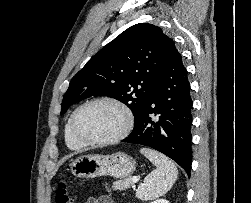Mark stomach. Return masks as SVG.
Instances as JSON below:
<instances>
[{
    "label": "stomach",
    "mask_w": 251,
    "mask_h": 203,
    "mask_svg": "<svg viewBox=\"0 0 251 203\" xmlns=\"http://www.w3.org/2000/svg\"><path fill=\"white\" fill-rule=\"evenodd\" d=\"M135 169V160L123 152L111 155H84L71 162L72 174L79 178H95L105 175L126 178L133 174Z\"/></svg>",
    "instance_id": "1"
}]
</instances>
